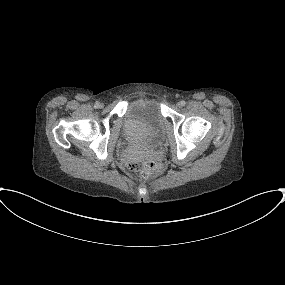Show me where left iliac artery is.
<instances>
[{
  "label": "left iliac artery",
  "mask_w": 285,
  "mask_h": 285,
  "mask_svg": "<svg viewBox=\"0 0 285 285\" xmlns=\"http://www.w3.org/2000/svg\"><path fill=\"white\" fill-rule=\"evenodd\" d=\"M186 102L184 100L181 101V105L185 106Z\"/></svg>",
  "instance_id": "obj_1"
}]
</instances>
